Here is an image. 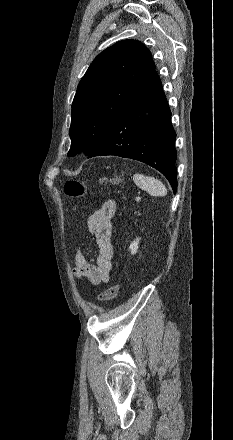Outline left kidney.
<instances>
[{
	"instance_id": "5707ae66",
	"label": "left kidney",
	"mask_w": 233,
	"mask_h": 440,
	"mask_svg": "<svg viewBox=\"0 0 233 440\" xmlns=\"http://www.w3.org/2000/svg\"><path fill=\"white\" fill-rule=\"evenodd\" d=\"M139 241H140V239L137 238L136 240H134V241L130 244L129 249H130V251H131V254H136V253H137L138 245H139Z\"/></svg>"
}]
</instances>
